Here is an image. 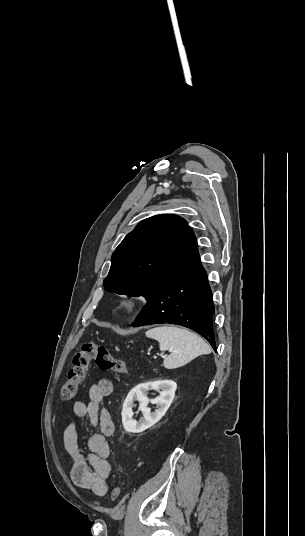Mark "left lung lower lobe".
I'll return each instance as SVG.
<instances>
[{"label":"left lung lower lobe","mask_w":305,"mask_h":536,"mask_svg":"<svg viewBox=\"0 0 305 536\" xmlns=\"http://www.w3.org/2000/svg\"><path fill=\"white\" fill-rule=\"evenodd\" d=\"M213 296L200 257L147 301L133 327L170 323L190 328L216 351Z\"/></svg>","instance_id":"obj_1"}]
</instances>
